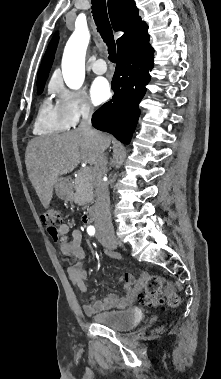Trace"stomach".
<instances>
[{
	"instance_id": "obj_1",
	"label": "stomach",
	"mask_w": 221,
	"mask_h": 379,
	"mask_svg": "<svg viewBox=\"0 0 221 379\" xmlns=\"http://www.w3.org/2000/svg\"><path fill=\"white\" fill-rule=\"evenodd\" d=\"M55 190L61 199L69 200L71 198V187L67 178L58 177L55 182Z\"/></svg>"
}]
</instances>
